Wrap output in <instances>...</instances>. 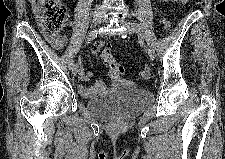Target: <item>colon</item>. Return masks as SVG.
Instances as JSON below:
<instances>
[{
  "mask_svg": "<svg viewBox=\"0 0 225 159\" xmlns=\"http://www.w3.org/2000/svg\"><path fill=\"white\" fill-rule=\"evenodd\" d=\"M39 22L44 32L50 36H61V31L68 22V12L61 0H39L38 6ZM162 27L169 30L171 22L168 18L162 19ZM62 45L64 40H61ZM101 58L107 63L109 73L112 77L120 79L124 73L125 68L113 58L112 52L109 48H104L100 54ZM153 74L149 68H144L140 72L142 80H150Z\"/></svg>",
  "mask_w": 225,
  "mask_h": 159,
  "instance_id": "5ec220e1",
  "label": "colon"
}]
</instances>
